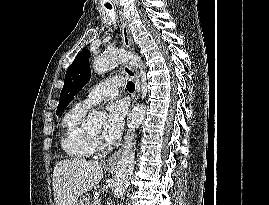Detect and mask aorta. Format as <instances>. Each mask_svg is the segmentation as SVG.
<instances>
[{"label":"aorta","instance_id":"1","mask_svg":"<svg viewBox=\"0 0 269 205\" xmlns=\"http://www.w3.org/2000/svg\"><path fill=\"white\" fill-rule=\"evenodd\" d=\"M130 61L136 67L141 66V59L131 53L121 49L109 50L100 56H97L93 61V69L96 73L102 74L107 72L113 66L123 62ZM146 115V108L143 105H137L133 108L128 117V135L122 151L121 158L117 165L115 179L112 185V192L115 197H121L129 184L131 174L134 169L135 156V130L142 124ZM102 117L95 111L88 115V123L96 124L100 122Z\"/></svg>","mask_w":269,"mask_h":205}]
</instances>
